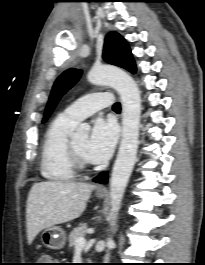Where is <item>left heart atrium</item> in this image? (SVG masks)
I'll list each match as a JSON object with an SVG mask.
<instances>
[{
	"label": "left heart atrium",
	"mask_w": 205,
	"mask_h": 265,
	"mask_svg": "<svg viewBox=\"0 0 205 265\" xmlns=\"http://www.w3.org/2000/svg\"><path fill=\"white\" fill-rule=\"evenodd\" d=\"M117 141V128L111 121H95L85 147V158L92 163L105 162L112 154Z\"/></svg>",
	"instance_id": "39dd6f15"
}]
</instances>
